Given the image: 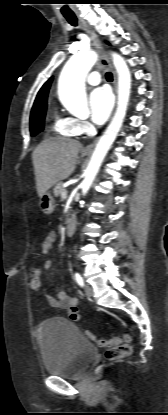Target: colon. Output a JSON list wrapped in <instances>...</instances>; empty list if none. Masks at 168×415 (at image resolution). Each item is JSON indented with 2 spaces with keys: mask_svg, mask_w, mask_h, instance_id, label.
<instances>
[{
  "mask_svg": "<svg viewBox=\"0 0 168 415\" xmlns=\"http://www.w3.org/2000/svg\"><path fill=\"white\" fill-rule=\"evenodd\" d=\"M30 276L29 288L32 294H39L41 291L44 277L39 263H34L28 270ZM89 338L96 342L100 347L105 348V360L107 362L117 361L130 353V346L123 344L120 336H112L110 339L97 338L91 333H87Z\"/></svg>",
  "mask_w": 168,
  "mask_h": 415,
  "instance_id": "1",
  "label": "colon"
}]
</instances>
